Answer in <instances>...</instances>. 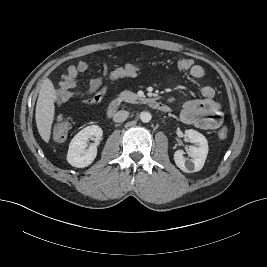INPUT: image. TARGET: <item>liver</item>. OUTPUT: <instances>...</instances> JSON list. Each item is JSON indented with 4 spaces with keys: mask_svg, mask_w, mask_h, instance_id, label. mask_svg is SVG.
<instances>
[{
    "mask_svg": "<svg viewBox=\"0 0 267 267\" xmlns=\"http://www.w3.org/2000/svg\"><path fill=\"white\" fill-rule=\"evenodd\" d=\"M57 94L53 83L49 79H45L36 104V124L41 138L48 143L51 135V128L54 120L55 106Z\"/></svg>",
    "mask_w": 267,
    "mask_h": 267,
    "instance_id": "obj_1",
    "label": "liver"
}]
</instances>
